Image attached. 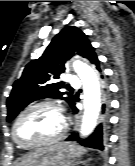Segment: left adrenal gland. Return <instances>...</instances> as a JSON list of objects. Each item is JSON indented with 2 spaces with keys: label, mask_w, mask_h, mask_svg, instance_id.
<instances>
[{
  "label": "left adrenal gland",
  "mask_w": 135,
  "mask_h": 166,
  "mask_svg": "<svg viewBox=\"0 0 135 166\" xmlns=\"http://www.w3.org/2000/svg\"><path fill=\"white\" fill-rule=\"evenodd\" d=\"M77 164H79V163L73 164L72 166H76Z\"/></svg>",
  "instance_id": "1"
}]
</instances>
